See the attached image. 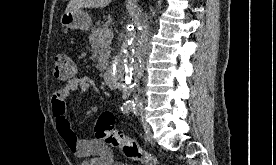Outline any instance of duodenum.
<instances>
[{"instance_id":"duodenum-1","label":"duodenum","mask_w":276,"mask_h":165,"mask_svg":"<svg viewBox=\"0 0 276 165\" xmlns=\"http://www.w3.org/2000/svg\"><path fill=\"white\" fill-rule=\"evenodd\" d=\"M104 78H105L106 84L109 87H111V88H115L116 87L115 80H114V78L112 76V73L110 71H105Z\"/></svg>"}]
</instances>
